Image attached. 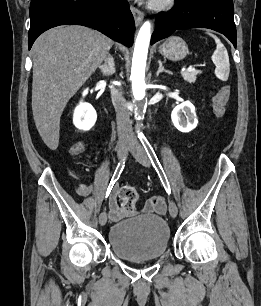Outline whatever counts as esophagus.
<instances>
[{"mask_svg": "<svg viewBox=\"0 0 261 306\" xmlns=\"http://www.w3.org/2000/svg\"><path fill=\"white\" fill-rule=\"evenodd\" d=\"M131 12L133 14L135 23L138 26L142 22V20L144 18V14L141 10H139L135 6H131Z\"/></svg>", "mask_w": 261, "mask_h": 306, "instance_id": "obj_1", "label": "esophagus"}]
</instances>
